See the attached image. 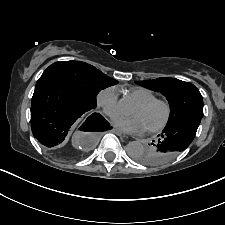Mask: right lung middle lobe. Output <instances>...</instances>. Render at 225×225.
Here are the masks:
<instances>
[{"label": "right lung middle lobe", "mask_w": 225, "mask_h": 225, "mask_svg": "<svg viewBox=\"0 0 225 225\" xmlns=\"http://www.w3.org/2000/svg\"><path fill=\"white\" fill-rule=\"evenodd\" d=\"M41 77L57 79L76 92L92 108L97 106L96 95L118 81L80 61H61L50 65Z\"/></svg>", "instance_id": "obj_1"}]
</instances>
